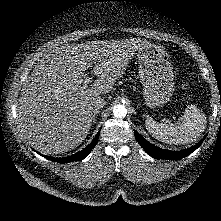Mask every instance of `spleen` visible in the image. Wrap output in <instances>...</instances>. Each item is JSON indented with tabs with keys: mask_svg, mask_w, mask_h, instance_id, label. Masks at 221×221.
<instances>
[{
	"mask_svg": "<svg viewBox=\"0 0 221 221\" xmlns=\"http://www.w3.org/2000/svg\"><path fill=\"white\" fill-rule=\"evenodd\" d=\"M206 116L195 105L188 106L182 122L175 124H156L147 116L146 129L157 140L167 144H191L197 140L205 128Z\"/></svg>",
	"mask_w": 221,
	"mask_h": 221,
	"instance_id": "spleen-1",
	"label": "spleen"
}]
</instances>
